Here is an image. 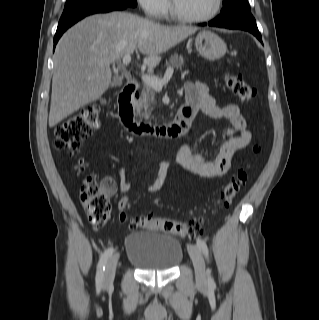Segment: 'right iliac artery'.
<instances>
[{"label":"right iliac artery","mask_w":319,"mask_h":320,"mask_svg":"<svg viewBox=\"0 0 319 320\" xmlns=\"http://www.w3.org/2000/svg\"><path fill=\"white\" fill-rule=\"evenodd\" d=\"M114 252L113 247L108 248L104 251V253L101 255V258L99 260L98 266H97V273H96V285L100 287L103 283L104 279V271H105V265L108 261V259L112 256Z\"/></svg>","instance_id":"right-iliac-artery-1"}]
</instances>
